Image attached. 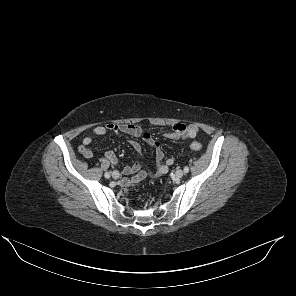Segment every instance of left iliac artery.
<instances>
[{"mask_svg":"<svg viewBox=\"0 0 296 296\" xmlns=\"http://www.w3.org/2000/svg\"><path fill=\"white\" fill-rule=\"evenodd\" d=\"M184 172L185 173H188L189 172V167L188 166L184 167Z\"/></svg>","mask_w":296,"mask_h":296,"instance_id":"obj_1","label":"left iliac artery"}]
</instances>
